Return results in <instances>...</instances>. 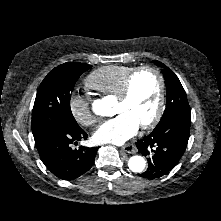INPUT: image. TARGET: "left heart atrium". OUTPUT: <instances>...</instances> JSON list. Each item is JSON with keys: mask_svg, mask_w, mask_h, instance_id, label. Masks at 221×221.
I'll return each instance as SVG.
<instances>
[{"mask_svg": "<svg viewBox=\"0 0 221 221\" xmlns=\"http://www.w3.org/2000/svg\"><path fill=\"white\" fill-rule=\"evenodd\" d=\"M139 126L130 115L120 113L101 124L93 137L100 143L122 144L137 133Z\"/></svg>", "mask_w": 221, "mask_h": 221, "instance_id": "39dd6f15", "label": "left heart atrium"}]
</instances>
